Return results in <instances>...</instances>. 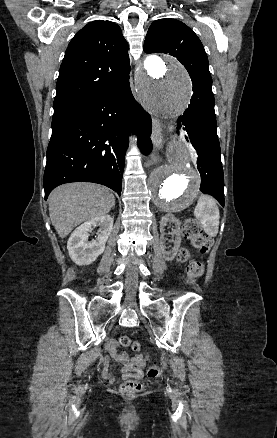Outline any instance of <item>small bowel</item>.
Here are the masks:
<instances>
[{"label": "small bowel", "mask_w": 277, "mask_h": 438, "mask_svg": "<svg viewBox=\"0 0 277 438\" xmlns=\"http://www.w3.org/2000/svg\"><path fill=\"white\" fill-rule=\"evenodd\" d=\"M108 349H111L110 355L121 363V372L124 378L137 377L141 374L142 368L146 364L147 357L144 355H137L135 357H130L125 353H118L116 351L118 344L115 341L108 342L106 344ZM104 367L110 366L109 360L103 361ZM104 377L106 379H112V376L109 372L104 373Z\"/></svg>", "instance_id": "1"}]
</instances>
